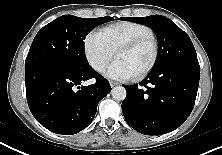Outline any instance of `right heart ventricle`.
Instances as JSON below:
<instances>
[{"mask_svg":"<svg viewBox=\"0 0 222 155\" xmlns=\"http://www.w3.org/2000/svg\"><path fill=\"white\" fill-rule=\"evenodd\" d=\"M152 28L138 22H118L104 27L101 34L116 52L123 44L128 43L140 36L153 34Z\"/></svg>","mask_w":222,"mask_h":155,"instance_id":"obj_1","label":"right heart ventricle"}]
</instances>
